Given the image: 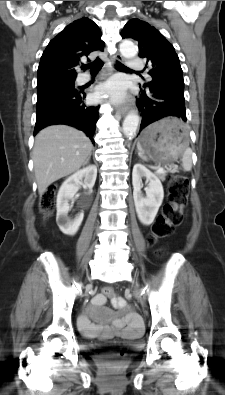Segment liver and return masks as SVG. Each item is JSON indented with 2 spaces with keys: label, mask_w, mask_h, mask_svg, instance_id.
<instances>
[{
  "label": "liver",
  "mask_w": 225,
  "mask_h": 395,
  "mask_svg": "<svg viewBox=\"0 0 225 395\" xmlns=\"http://www.w3.org/2000/svg\"><path fill=\"white\" fill-rule=\"evenodd\" d=\"M92 147L86 134L71 126L52 125L41 130L32 152L39 195L53 182L85 165Z\"/></svg>",
  "instance_id": "1"
}]
</instances>
